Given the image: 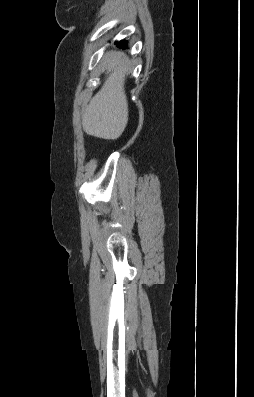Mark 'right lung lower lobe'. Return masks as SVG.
Returning a JSON list of instances; mask_svg holds the SVG:
<instances>
[{"label": "right lung lower lobe", "instance_id": "98d812e1", "mask_svg": "<svg viewBox=\"0 0 254 397\" xmlns=\"http://www.w3.org/2000/svg\"><path fill=\"white\" fill-rule=\"evenodd\" d=\"M115 44L120 48H127V43L125 41L115 42Z\"/></svg>", "mask_w": 254, "mask_h": 397}]
</instances>
